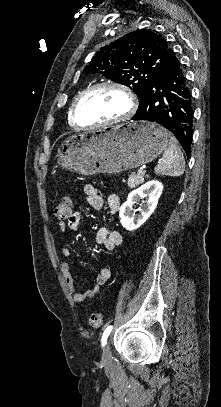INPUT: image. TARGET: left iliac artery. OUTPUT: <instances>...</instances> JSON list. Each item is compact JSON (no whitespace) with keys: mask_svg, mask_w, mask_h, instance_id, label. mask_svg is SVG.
Masks as SVG:
<instances>
[{"mask_svg":"<svg viewBox=\"0 0 221 407\" xmlns=\"http://www.w3.org/2000/svg\"><path fill=\"white\" fill-rule=\"evenodd\" d=\"M112 331V325H109L106 329H105V331H104V333H103V335H102V339H101V344H102V346H104L105 344H106V341H107V338H108V336L110 335V332Z\"/></svg>","mask_w":221,"mask_h":407,"instance_id":"left-iliac-artery-1","label":"left iliac artery"}]
</instances>
